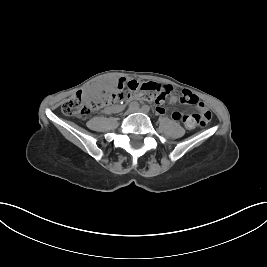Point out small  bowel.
<instances>
[{
  "mask_svg": "<svg viewBox=\"0 0 267 267\" xmlns=\"http://www.w3.org/2000/svg\"><path fill=\"white\" fill-rule=\"evenodd\" d=\"M134 98H138V97H134ZM170 102L171 103H176L177 102V96L172 95L170 98ZM199 107H204L207 108L202 102H199ZM208 109V108H207ZM122 110V107L117 105L112 107L111 109L107 110V112H113V111H120ZM157 111L161 114L165 113V110L162 107L157 108ZM189 116L190 115H183L180 112H173L172 113V119L175 121H183L186 128L188 129H194L195 128V124L189 121Z\"/></svg>",
  "mask_w": 267,
  "mask_h": 267,
  "instance_id": "1",
  "label": "small bowel"
}]
</instances>
